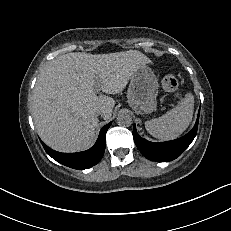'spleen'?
Returning <instances> with one entry per match:
<instances>
[{
  "instance_id": "spleen-1",
  "label": "spleen",
  "mask_w": 231,
  "mask_h": 231,
  "mask_svg": "<svg viewBox=\"0 0 231 231\" xmlns=\"http://www.w3.org/2000/svg\"><path fill=\"white\" fill-rule=\"evenodd\" d=\"M194 97L187 93L178 104L161 117L145 122L147 132L160 140H172L179 137L192 121Z\"/></svg>"
}]
</instances>
